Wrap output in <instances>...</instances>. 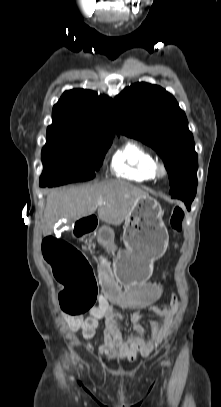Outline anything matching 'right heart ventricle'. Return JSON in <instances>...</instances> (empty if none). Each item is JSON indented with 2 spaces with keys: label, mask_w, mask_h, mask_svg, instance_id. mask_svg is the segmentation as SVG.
<instances>
[{
  "label": "right heart ventricle",
  "mask_w": 221,
  "mask_h": 407,
  "mask_svg": "<svg viewBox=\"0 0 221 407\" xmlns=\"http://www.w3.org/2000/svg\"><path fill=\"white\" fill-rule=\"evenodd\" d=\"M157 160L151 152L135 142H127L114 154L111 162L113 173L137 183H148L156 179Z\"/></svg>",
  "instance_id": "1"
}]
</instances>
